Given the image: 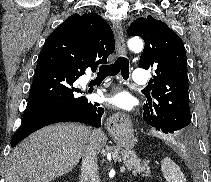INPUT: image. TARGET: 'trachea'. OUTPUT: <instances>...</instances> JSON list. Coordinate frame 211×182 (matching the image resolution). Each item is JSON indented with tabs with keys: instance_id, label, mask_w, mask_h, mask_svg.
<instances>
[{
	"instance_id": "trachea-1",
	"label": "trachea",
	"mask_w": 211,
	"mask_h": 182,
	"mask_svg": "<svg viewBox=\"0 0 211 182\" xmlns=\"http://www.w3.org/2000/svg\"><path fill=\"white\" fill-rule=\"evenodd\" d=\"M121 72L123 79L129 78V60L120 56L113 64L101 65L98 74L101 76H114Z\"/></svg>"
}]
</instances>
